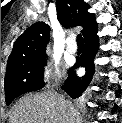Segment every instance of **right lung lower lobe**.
Here are the masks:
<instances>
[{"label": "right lung lower lobe", "mask_w": 122, "mask_h": 123, "mask_svg": "<svg viewBox=\"0 0 122 123\" xmlns=\"http://www.w3.org/2000/svg\"><path fill=\"white\" fill-rule=\"evenodd\" d=\"M85 52L81 55V58L77 59L74 68L79 66L85 67L86 74L82 77H78L75 74V71L71 72L62 87L73 99L78 98L86 90L90 84L94 72V57L98 52L99 48V39L97 36V30L86 36L85 38Z\"/></svg>", "instance_id": "1"}]
</instances>
